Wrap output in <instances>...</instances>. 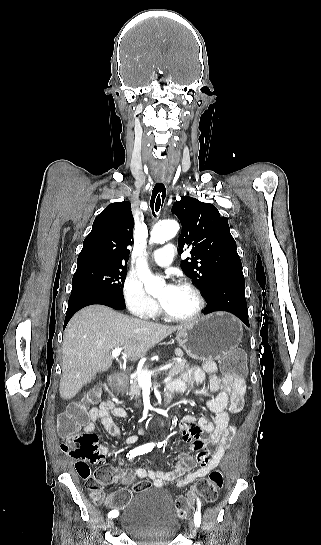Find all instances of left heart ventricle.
I'll return each instance as SVG.
<instances>
[{
  "mask_svg": "<svg viewBox=\"0 0 321 545\" xmlns=\"http://www.w3.org/2000/svg\"><path fill=\"white\" fill-rule=\"evenodd\" d=\"M160 301L167 312L181 316L192 314L197 306L195 295L191 291L180 287H176L170 296H168L167 288H164Z\"/></svg>",
  "mask_w": 321,
  "mask_h": 545,
  "instance_id": "obj_1",
  "label": "left heart ventricle"
}]
</instances>
